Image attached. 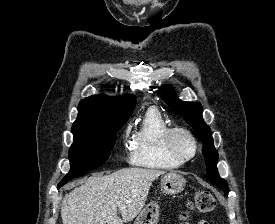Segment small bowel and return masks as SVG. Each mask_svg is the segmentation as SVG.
I'll return each mask as SVG.
<instances>
[{
  "instance_id": "1",
  "label": "small bowel",
  "mask_w": 275,
  "mask_h": 224,
  "mask_svg": "<svg viewBox=\"0 0 275 224\" xmlns=\"http://www.w3.org/2000/svg\"><path fill=\"white\" fill-rule=\"evenodd\" d=\"M198 224H210L207 220H200Z\"/></svg>"
}]
</instances>
